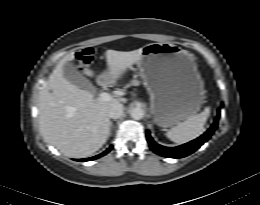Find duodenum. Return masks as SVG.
Here are the masks:
<instances>
[{
  "label": "duodenum",
  "instance_id": "obj_1",
  "mask_svg": "<svg viewBox=\"0 0 260 205\" xmlns=\"http://www.w3.org/2000/svg\"><path fill=\"white\" fill-rule=\"evenodd\" d=\"M99 81H100V85L102 87H107L108 86V82L105 79L100 78Z\"/></svg>",
  "mask_w": 260,
  "mask_h": 205
}]
</instances>
